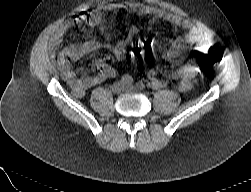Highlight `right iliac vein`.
Masks as SVG:
<instances>
[{
    "label": "right iliac vein",
    "mask_w": 251,
    "mask_h": 192,
    "mask_svg": "<svg viewBox=\"0 0 251 192\" xmlns=\"http://www.w3.org/2000/svg\"><path fill=\"white\" fill-rule=\"evenodd\" d=\"M124 89V83L123 82H115L112 86V91L115 94H119Z\"/></svg>",
    "instance_id": "right-iliac-vein-1"
}]
</instances>
